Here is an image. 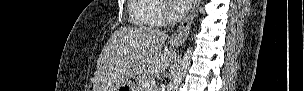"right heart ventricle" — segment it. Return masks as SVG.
<instances>
[{"instance_id":"right-heart-ventricle-1","label":"right heart ventricle","mask_w":304,"mask_h":91,"mask_svg":"<svg viewBox=\"0 0 304 91\" xmlns=\"http://www.w3.org/2000/svg\"><path fill=\"white\" fill-rule=\"evenodd\" d=\"M160 9L155 0H131L129 5L130 22L138 27H153Z\"/></svg>"}]
</instances>
